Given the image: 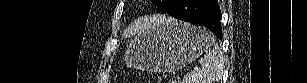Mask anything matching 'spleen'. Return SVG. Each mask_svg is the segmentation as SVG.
<instances>
[{
    "instance_id": "obj_1",
    "label": "spleen",
    "mask_w": 307,
    "mask_h": 83,
    "mask_svg": "<svg viewBox=\"0 0 307 83\" xmlns=\"http://www.w3.org/2000/svg\"><path fill=\"white\" fill-rule=\"evenodd\" d=\"M208 33L210 44L213 49L207 48L204 56L199 60V67L194 68L184 75L182 83H214L217 81L224 69V55L218 44H215V36Z\"/></svg>"
}]
</instances>
